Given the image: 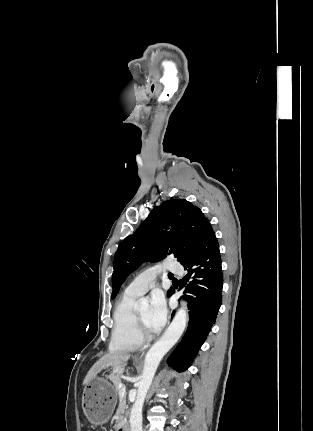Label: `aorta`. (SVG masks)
<instances>
[{
  "instance_id": "aorta-1",
  "label": "aorta",
  "mask_w": 313,
  "mask_h": 431,
  "mask_svg": "<svg viewBox=\"0 0 313 431\" xmlns=\"http://www.w3.org/2000/svg\"><path fill=\"white\" fill-rule=\"evenodd\" d=\"M139 302L141 306L147 303L143 298ZM187 322V306L185 302H182V306L176 312L170 326L147 352L142 378L138 385L137 397L130 412V431H142V409L157 367L163 356L178 342L186 328Z\"/></svg>"
}]
</instances>
